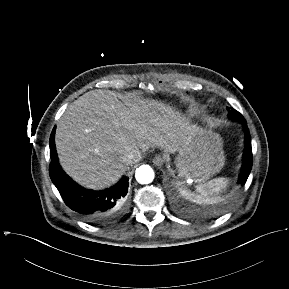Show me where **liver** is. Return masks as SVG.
Wrapping results in <instances>:
<instances>
[{
	"instance_id": "liver-1",
	"label": "liver",
	"mask_w": 289,
	"mask_h": 289,
	"mask_svg": "<svg viewBox=\"0 0 289 289\" xmlns=\"http://www.w3.org/2000/svg\"><path fill=\"white\" fill-rule=\"evenodd\" d=\"M192 127L170 106L135 98L121 102L110 90H92L66 109L55 145L64 171L81 186L99 190L116 183L136 149L175 153Z\"/></svg>"
}]
</instances>
